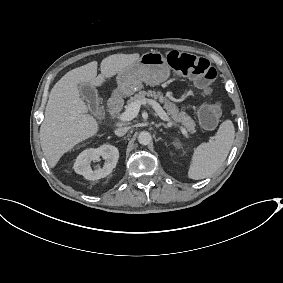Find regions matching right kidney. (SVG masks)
<instances>
[{"label":"right kidney","instance_id":"right-kidney-1","mask_svg":"<svg viewBox=\"0 0 283 283\" xmlns=\"http://www.w3.org/2000/svg\"><path fill=\"white\" fill-rule=\"evenodd\" d=\"M100 157L108 159L102 168L92 170L91 161H96ZM119 159V150L109 144H104L98 148H90L83 151L76 159L74 170L77 174L83 175L89 180H98L107 177L115 168Z\"/></svg>","mask_w":283,"mask_h":283}]
</instances>
